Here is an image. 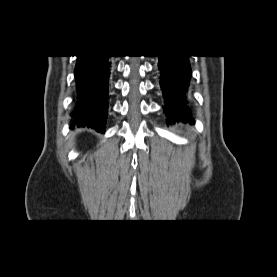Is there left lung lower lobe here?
Wrapping results in <instances>:
<instances>
[{
  "label": "left lung lower lobe",
  "mask_w": 277,
  "mask_h": 277,
  "mask_svg": "<svg viewBox=\"0 0 277 277\" xmlns=\"http://www.w3.org/2000/svg\"><path fill=\"white\" fill-rule=\"evenodd\" d=\"M159 57V83L167 107H164L167 123L184 121L194 123L191 111L186 105V93L191 77L189 56L161 55Z\"/></svg>",
  "instance_id": "0a47b994"
}]
</instances>
